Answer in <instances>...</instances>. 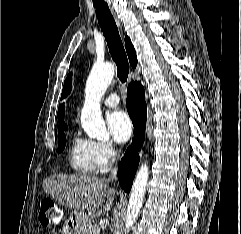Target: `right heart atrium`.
I'll return each mask as SVG.
<instances>
[{
	"label": "right heart atrium",
	"mask_w": 241,
	"mask_h": 234,
	"mask_svg": "<svg viewBox=\"0 0 241 234\" xmlns=\"http://www.w3.org/2000/svg\"><path fill=\"white\" fill-rule=\"evenodd\" d=\"M98 170H105L115 159L116 147L110 141L94 142Z\"/></svg>",
	"instance_id": "1"
}]
</instances>
